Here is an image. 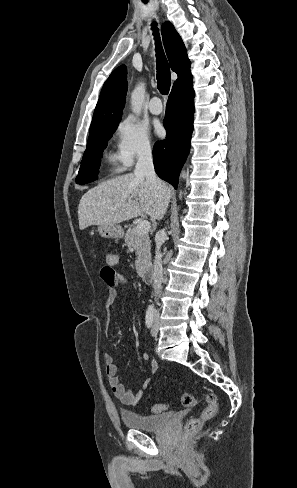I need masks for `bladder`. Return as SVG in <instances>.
I'll use <instances>...</instances> for the list:
<instances>
[{
  "mask_svg": "<svg viewBox=\"0 0 297 488\" xmlns=\"http://www.w3.org/2000/svg\"><path fill=\"white\" fill-rule=\"evenodd\" d=\"M173 417V412L158 415H139L131 411L121 412V420L125 427L145 432H155L165 428Z\"/></svg>",
  "mask_w": 297,
  "mask_h": 488,
  "instance_id": "31cf9c89",
  "label": "bladder"
}]
</instances>
